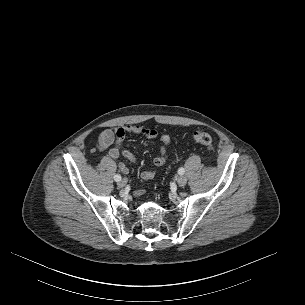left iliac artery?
I'll return each mask as SVG.
<instances>
[{
	"mask_svg": "<svg viewBox=\"0 0 305 305\" xmlns=\"http://www.w3.org/2000/svg\"><path fill=\"white\" fill-rule=\"evenodd\" d=\"M184 172H185V170H184L183 167H181V168L178 169V173H179L180 175H183Z\"/></svg>",
	"mask_w": 305,
	"mask_h": 305,
	"instance_id": "1",
	"label": "left iliac artery"
}]
</instances>
